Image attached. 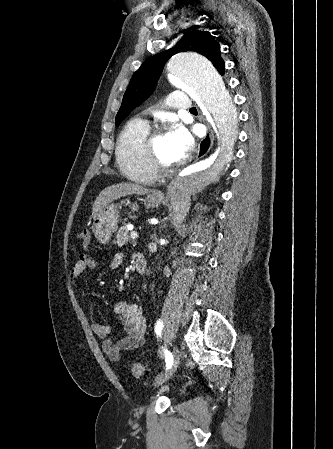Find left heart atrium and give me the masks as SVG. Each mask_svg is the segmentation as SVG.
<instances>
[{
	"label": "left heart atrium",
	"instance_id": "1",
	"mask_svg": "<svg viewBox=\"0 0 333 449\" xmlns=\"http://www.w3.org/2000/svg\"><path fill=\"white\" fill-rule=\"evenodd\" d=\"M166 136L177 162L188 156L193 147V138L185 127L180 124H174Z\"/></svg>",
	"mask_w": 333,
	"mask_h": 449
}]
</instances>
